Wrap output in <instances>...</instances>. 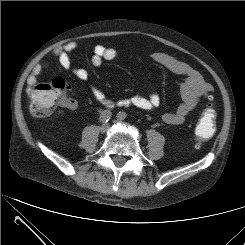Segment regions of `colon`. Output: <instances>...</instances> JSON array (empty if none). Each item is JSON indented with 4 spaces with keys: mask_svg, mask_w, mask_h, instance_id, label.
<instances>
[{
    "mask_svg": "<svg viewBox=\"0 0 245 245\" xmlns=\"http://www.w3.org/2000/svg\"><path fill=\"white\" fill-rule=\"evenodd\" d=\"M67 83L61 78H55L46 82H35L27 89L30 99V110L38 117L51 114L57 106L69 107L71 99L66 93ZM209 100L206 110L201 115L195 127L197 144L208 141L215 132L217 114L212 104V97L206 94Z\"/></svg>",
    "mask_w": 245,
    "mask_h": 245,
    "instance_id": "1",
    "label": "colon"
}]
</instances>
